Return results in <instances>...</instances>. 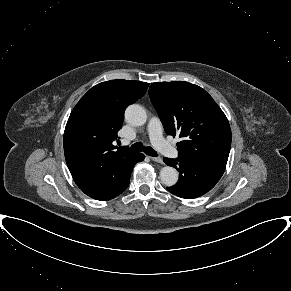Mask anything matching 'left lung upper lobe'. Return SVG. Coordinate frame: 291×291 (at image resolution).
Returning a JSON list of instances; mask_svg holds the SVG:
<instances>
[{
  "label": "left lung upper lobe",
  "instance_id": "1",
  "mask_svg": "<svg viewBox=\"0 0 291 291\" xmlns=\"http://www.w3.org/2000/svg\"><path fill=\"white\" fill-rule=\"evenodd\" d=\"M149 96L165 132L182 139L178 157L227 162L229 122L204 89L184 81L158 82L151 84Z\"/></svg>",
  "mask_w": 291,
  "mask_h": 291
}]
</instances>
